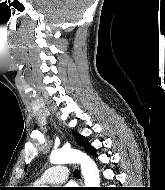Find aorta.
I'll return each instance as SVG.
<instances>
[{
	"instance_id": "762f6f07",
	"label": "aorta",
	"mask_w": 165,
	"mask_h": 190,
	"mask_svg": "<svg viewBox=\"0 0 165 190\" xmlns=\"http://www.w3.org/2000/svg\"><path fill=\"white\" fill-rule=\"evenodd\" d=\"M52 164L79 163L86 187H99L100 176L95 162L86 154L72 149L52 151L50 155Z\"/></svg>"
}]
</instances>
